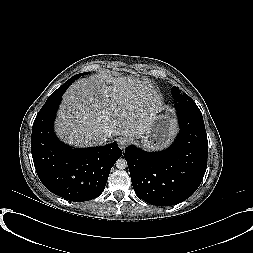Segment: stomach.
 <instances>
[{
    "label": "stomach",
    "mask_w": 253,
    "mask_h": 253,
    "mask_svg": "<svg viewBox=\"0 0 253 253\" xmlns=\"http://www.w3.org/2000/svg\"><path fill=\"white\" fill-rule=\"evenodd\" d=\"M176 132L175 120L168 114H155L148 122V130L140 138V144L149 150L166 147Z\"/></svg>",
    "instance_id": "1"
}]
</instances>
